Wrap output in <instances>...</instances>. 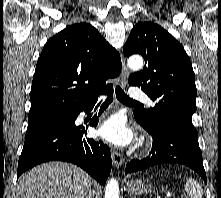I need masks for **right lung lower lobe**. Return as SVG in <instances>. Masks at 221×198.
I'll use <instances>...</instances> for the list:
<instances>
[{"label":"right lung lower lobe","instance_id":"98d812e1","mask_svg":"<svg viewBox=\"0 0 221 198\" xmlns=\"http://www.w3.org/2000/svg\"><path fill=\"white\" fill-rule=\"evenodd\" d=\"M110 97L102 105L98 116L113 100V90L106 92ZM95 102L81 111L88 112ZM68 124L54 125L26 137L22 153L18 161L17 178L32 167L48 161H66L76 164L88 172L101 185H105L112 167L111 153L107 145L101 141L85 138L87 127L76 126L75 120ZM96 116L90 122L96 126Z\"/></svg>","mask_w":221,"mask_h":198}]
</instances>
